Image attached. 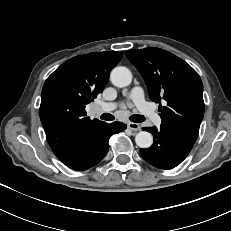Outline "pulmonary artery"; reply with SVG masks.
Segmentation results:
<instances>
[{"mask_svg": "<svg viewBox=\"0 0 231 231\" xmlns=\"http://www.w3.org/2000/svg\"><path fill=\"white\" fill-rule=\"evenodd\" d=\"M127 100L132 101L137 108L147 115L151 121L157 125L161 123V119L158 114L155 112L154 108L145 100L144 93L141 87H133L128 94ZM124 105V102H111V103H104L101 105L102 110H114L118 106Z\"/></svg>", "mask_w": 231, "mask_h": 231, "instance_id": "obj_1", "label": "pulmonary artery"}]
</instances>
